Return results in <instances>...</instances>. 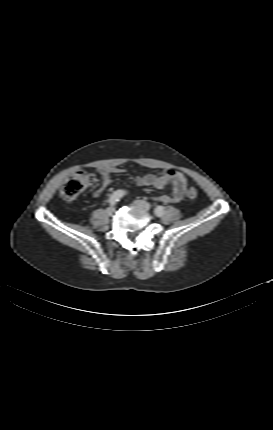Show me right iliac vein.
Listing matches in <instances>:
<instances>
[{
    "label": "right iliac vein",
    "instance_id": "obj_1",
    "mask_svg": "<svg viewBox=\"0 0 273 430\" xmlns=\"http://www.w3.org/2000/svg\"><path fill=\"white\" fill-rule=\"evenodd\" d=\"M107 213L109 214V215H112L114 212H115V208H113V207H109V208H107Z\"/></svg>",
    "mask_w": 273,
    "mask_h": 430
}]
</instances>
